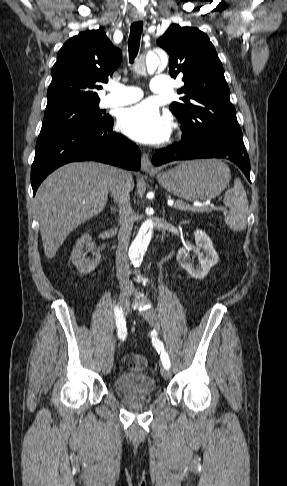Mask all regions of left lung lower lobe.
Instances as JSON below:
<instances>
[{"instance_id": "0a47b994", "label": "left lung lower lobe", "mask_w": 287, "mask_h": 486, "mask_svg": "<svg viewBox=\"0 0 287 486\" xmlns=\"http://www.w3.org/2000/svg\"><path fill=\"white\" fill-rule=\"evenodd\" d=\"M198 158H225L234 162L250 181V163L244 143L223 138L206 139L199 135L183 133L181 141L167 148L156 150L153 164L159 166L176 160Z\"/></svg>"}]
</instances>
